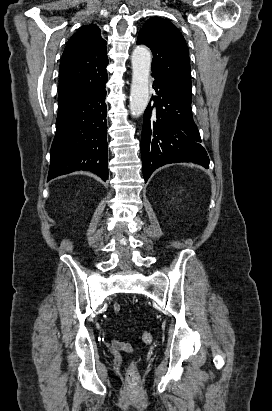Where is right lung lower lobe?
<instances>
[{"label": "right lung lower lobe", "mask_w": 272, "mask_h": 411, "mask_svg": "<svg viewBox=\"0 0 272 411\" xmlns=\"http://www.w3.org/2000/svg\"><path fill=\"white\" fill-rule=\"evenodd\" d=\"M106 82L59 103L48 181L76 170L108 179Z\"/></svg>", "instance_id": "98d812e1"}]
</instances>
